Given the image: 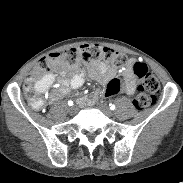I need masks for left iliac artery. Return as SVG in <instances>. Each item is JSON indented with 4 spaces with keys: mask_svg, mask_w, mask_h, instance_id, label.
Instances as JSON below:
<instances>
[{
    "mask_svg": "<svg viewBox=\"0 0 183 183\" xmlns=\"http://www.w3.org/2000/svg\"><path fill=\"white\" fill-rule=\"evenodd\" d=\"M109 107H110L111 110L115 109V105L114 104H110Z\"/></svg>",
    "mask_w": 183,
    "mask_h": 183,
    "instance_id": "obj_1",
    "label": "left iliac artery"
}]
</instances>
